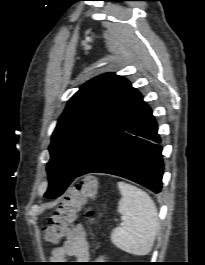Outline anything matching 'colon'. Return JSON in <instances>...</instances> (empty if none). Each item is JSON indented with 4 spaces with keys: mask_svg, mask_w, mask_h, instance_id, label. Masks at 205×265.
Here are the masks:
<instances>
[{
    "mask_svg": "<svg viewBox=\"0 0 205 265\" xmlns=\"http://www.w3.org/2000/svg\"><path fill=\"white\" fill-rule=\"evenodd\" d=\"M98 181L94 176H86L66 195L56 212L50 217L43 229L44 239L58 242L71 229L77 213L89 201L96 199Z\"/></svg>",
    "mask_w": 205,
    "mask_h": 265,
    "instance_id": "colon-1",
    "label": "colon"
}]
</instances>
